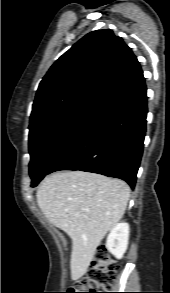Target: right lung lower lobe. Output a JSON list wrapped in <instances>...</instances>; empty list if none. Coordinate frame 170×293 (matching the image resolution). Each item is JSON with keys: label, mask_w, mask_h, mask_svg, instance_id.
<instances>
[{"label": "right lung lower lobe", "mask_w": 170, "mask_h": 293, "mask_svg": "<svg viewBox=\"0 0 170 293\" xmlns=\"http://www.w3.org/2000/svg\"><path fill=\"white\" fill-rule=\"evenodd\" d=\"M143 82L108 102L85 133L51 166L125 180L134 188L146 132L147 94Z\"/></svg>", "instance_id": "1"}]
</instances>
